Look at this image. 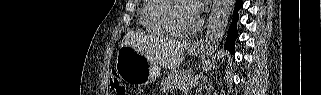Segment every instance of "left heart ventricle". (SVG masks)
Here are the masks:
<instances>
[{
  "label": "left heart ventricle",
  "mask_w": 321,
  "mask_h": 95,
  "mask_svg": "<svg viewBox=\"0 0 321 95\" xmlns=\"http://www.w3.org/2000/svg\"><path fill=\"white\" fill-rule=\"evenodd\" d=\"M169 14L173 24L181 30L190 29L196 20L192 7L186 3L174 4Z\"/></svg>",
  "instance_id": "1"
}]
</instances>
